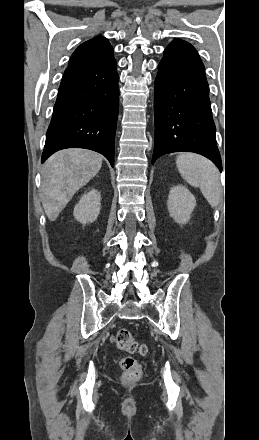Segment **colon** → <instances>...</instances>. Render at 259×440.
Wrapping results in <instances>:
<instances>
[{"instance_id":"colon-1","label":"colon","mask_w":259,"mask_h":440,"mask_svg":"<svg viewBox=\"0 0 259 440\" xmlns=\"http://www.w3.org/2000/svg\"><path fill=\"white\" fill-rule=\"evenodd\" d=\"M115 342L120 350L127 353L143 355L146 352L145 345L139 344L132 333L126 328H121L117 331ZM120 366L124 371L122 379L126 383L134 382L141 376V366L132 357L122 358L120 360Z\"/></svg>"}]
</instances>
